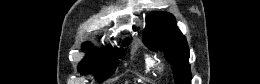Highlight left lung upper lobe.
Wrapping results in <instances>:
<instances>
[{
  "instance_id": "5c2ea615",
  "label": "left lung upper lobe",
  "mask_w": 260,
  "mask_h": 84,
  "mask_svg": "<svg viewBox=\"0 0 260 84\" xmlns=\"http://www.w3.org/2000/svg\"><path fill=\"white\" fill-rule=\"evenodd\" d=\"M143 31V42L151 50H161L172 64L176 84L191 80L189 48L185 37L176 26L175 18L166 12L150 13Z\"/></svg>"
}]
</instances>
